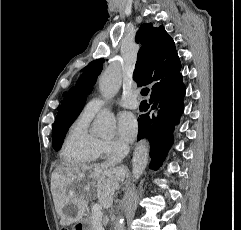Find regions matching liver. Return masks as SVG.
<instances>
[{
  "mask_svg": "<svg viewBox=\"0 0 241 230\" xmlns=\"http://www.w3.org/2000/svg\"><path fill=\"white\" fill-rule=\"evenodd\" d=\"M124 178L123 167L114 168L104 164L56 169L52 174V193L55 210L61 218L60 224L67 226L82 219L88 204L85 197L91 191L90 186H96L100 199L112 203V197ZM69 204L77 207L74 217L65 211Z\"/></svg>",
  "mask_w": 241,
  "mask_h": 230,
  "instance_id": "liver-1",
  "label": "liver"
}]
</instances>
